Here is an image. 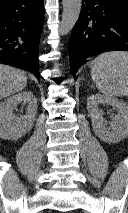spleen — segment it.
<instances>
[{"label":"spleen","instance_id":"obj_1","mask_svg":"<svg viewBox=\"0 0 128 213\" xmlns=\"http://www.w3.org/2000/svg\"><path fill=\"white\" fill-rule=\"evenodd\" d=\"M91 64L92 80L104 96H128V52L103 53Z\"/></svg>","mask_w":128,"mask_h":213}]
</instances>
